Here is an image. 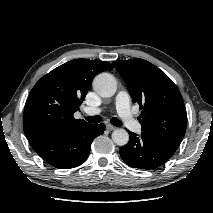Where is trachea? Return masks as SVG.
I'll use <instances>...</instances> for the list:
<instances>
[{"label": "trachea", "instance_id": "trachea-1", "mask_svg": "<svg viewBox=\"0 0 213 213\" xmlns=\"http://www.w3.org/2000/svg\"><path fill=\"white\" fill-rule=\"evenodd\" d=\"M85 119L90 123H99L101 121V117L99 115L88 116V117H85ZM110 123L114 126H122V122L116 117H112L110 119Z\"/></svg>", "mask_w": 213, "mask_h": 213}]
</instances>
